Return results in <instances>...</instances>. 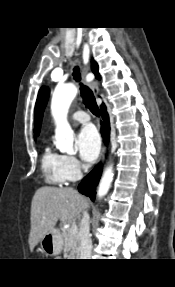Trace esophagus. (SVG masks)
<instances>
[{"label": "esophagus", "mask_w": 175, "mask_h": 287, "mask_svg": "<svg viewBox=\"0 0 175 287\" xmlns=\"http://www.w3.org/2000/svg\"><path fill=\"white\" fill-rule=\"evenodd\" d=\"M82 74H83V77L86 78V80H88V85L91 88V90L93 91L94 95H98L99 94V84L96 80H94V75L92 73H89V66L83 67ZM105 152H106V146L103 145L100 161H102L104 159Z\"/></svg>", "instance_id": "obj_1"}]
</instances>
